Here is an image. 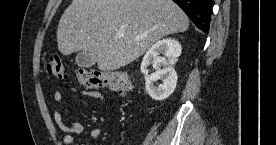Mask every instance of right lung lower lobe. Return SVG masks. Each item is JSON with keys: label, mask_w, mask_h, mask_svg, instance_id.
<instances>
[{"label": "right lung lower lobe", "mask_w": 276, "mask_h": 145, "mask_svg": "<svg viewBox=\"0 0 276 145\" xmlns=\"http://www.w3.org/2000/svg\"><path fill=\"white\" fill-rule=\"evenodd\" d=\"M177 3L194 24L208 33L211 17L212 0H173Z\"/></svg>", "instance_id": "98d812e1"}]
</instances>
